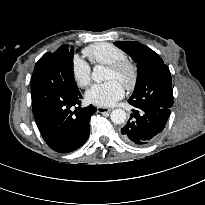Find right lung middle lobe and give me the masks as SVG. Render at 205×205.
I'll list each match as a JSON object with an SVG mask.
<instances>
[{"mask_svg": "<svg viewBox=\"0 0 205 205\" xmlns=\"http://www.w3.org/2000/svg\"><path fill=\"white\" fill-rule=\"evenodd\" d=\"M67 47V46H66ZM73 48V47H72ZM47 55L46 56H48V59H49V57L52 55L51 53H46ZM45 55V54H44ZM44 55H43V57L36 63V65H35V69L36 68H38V67H40L41 65H43L45 62H47L48 61V59H44ZM34 69V70H35Z\"/></svg>", "mask_w": 205, "mask_h": 205, "instance_id": "1", "label": "right lung middle lobe"}]
</instances>
